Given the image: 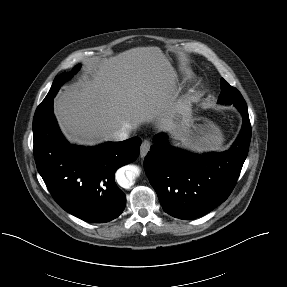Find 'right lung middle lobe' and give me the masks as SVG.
<instances>
[{
	"label": "right lung middle lobe",
	"instance_id": "right-lung-middle-lobe-1",
	"mask_svg": "<svg viewBox=\"0 0 287 287\" xmlns=\"http://www.w3.org/2000/svg\"><path fill=\"white\" fill-rule=\"evenodd\" d=\"M80 68V65L75 66L71 72L69 73H62L60 76L56 77L54 79V82L51 86L50 91L48 92L47 96L45 97V99H48L50 97H54L55 94L57 93L58 89L60 88L61 84L64 83L66 80H68L69 78H71ZM44 99V100H45Z\"/></svg>",
	"mask_w": 287,
	"mask_h": 287
}]
</instances>
